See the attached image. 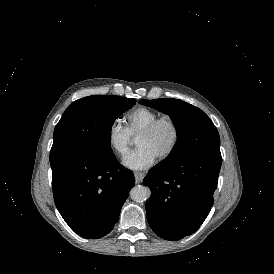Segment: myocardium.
<instances>
[{"instance_id": "1", "label": "myocardium", "mask_w": 274, "mask_h": 274, "mask_svg": "<svg viewBox=\"0 0 274 274\" xmlns=\"http://www.w3.org/2000/svg\"><path fill=\"white\" fill-rule=\"evenodd\" d=\"M163 125H167L170 127V129L172 131V140H171V144H170L168 150L157 159L158 162H163V161L167 160L168 158H170L172 156V154L176 150V147H177V144L179 141V128H178V125L175 122V120H173L170 117L158 118L152 124H150L147 128H145L143 131H141L138 134V137L151 136Z\"/></svg>"}]
</instances>
